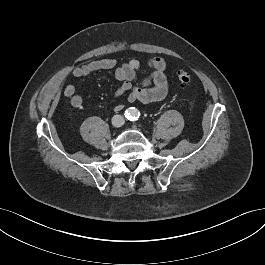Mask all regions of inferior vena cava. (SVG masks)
Returning <instances> with one entry per match:
<instances>
[{
  "instance_id": "inferior-vena-cava-1",
  "label": "inferior vena cava",
  "mask_w": 265,
  "mask_h": 265,
  "mask_svg": "<svg viewBox=\"0 0 265 265\" xmlns=\"http://www.w3.org/2000/svg\"><path fill=\"white\" fill-rule=\"evenodd\" d=\"M118 119V122L116 123V125H122L124 122V118L122 116H115Z\"/></svg>"
}]
</instances>
